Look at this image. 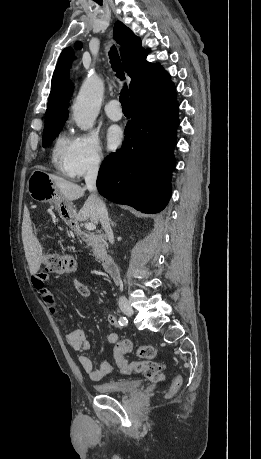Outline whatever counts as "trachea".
Wrapping results in <instances>:
<instances>
[{
	"mask_svg": "<svg viewBox=\"0 0 261 459\" xmlns=\"http://www.w3.org/2000/svg\"><path fill=\"white\" fill-rule=\"evenodd\" d=\"M109 58H110V63L112 65V68L113 70L116 72V75L120 78V79H124V71H123V67H122V64H121V60H120V57H119V54H118V51L116 49L115 46H112L111 47V50L109 51ZM120 103L122 105V109L123 110H130V105H129V90L128 88L124 87L122 90H121V93H120Z\"/></svg>",
	"mask_w": 261,
	"mask_h": 459,
	"instance_id": "3493384b",
	"label": "trachea"
}]
</instances>
